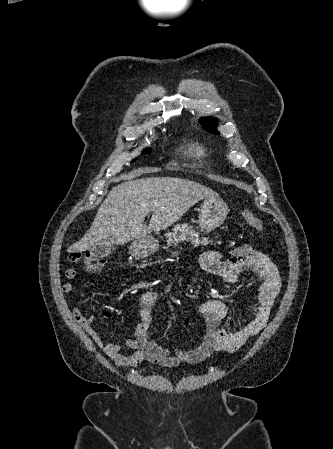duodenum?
I'll return each mask as SVG.
<instances>
[{"mask_svg":"<svg viewBox=\"0 0 333 449\" xmlns=\"http://www.w3.org/2000/svg\"><path fill=\"white\" fill-rule=\"evenodd\" d=\"M147 247H148V242L145 240V241H143L142 244L139 245L138 254L143 255L144 253H146Z\"/></svg>","mask_w":333,"mask_h":449,"instance_id":"1","label":"duodenum"}]
</instances>
